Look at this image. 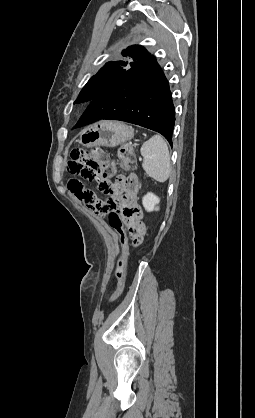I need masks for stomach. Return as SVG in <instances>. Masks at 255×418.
<instances>
[{
    "label": "stomach",
    "instance_id": "1",
    "mask_svg": "<svg viewBox=\"0 0 255 418\" xmlns=\"http://www.w3.org/2000/svg\"><path fill=\"white\" fill-rule=\"evenodd\" d=\"M134 137V129L123 123L105 121L84 129L80 143L85 147H114Z\"/></svg>",
    "mask_w": 255,
    "mask_h": 418
}]
</instances>
